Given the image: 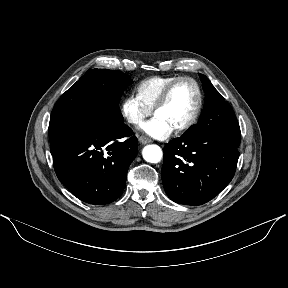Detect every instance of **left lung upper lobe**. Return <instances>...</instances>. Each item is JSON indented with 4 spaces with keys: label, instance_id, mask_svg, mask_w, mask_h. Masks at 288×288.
I'll list each match as a JSON object with an SVG mask.
<instances>
[{
    "label": "left lung upper lobe",
    "instance_id": "1",
    "mask_svg": "<svg viewBox=\"0 0 288 288\" xmlns=\"http://www.w3.org/2000/svg\"><path fill=\"white\" fill-rule=\"evenodd\" d=\"M199 76L206 94L205 105L198 124L192 126L185 135L191 136L206 132L239 146L240 126L232 107L206 76L202 74Z\"/></svg>",
    "mask_w": 288,
    "mask_h": 288
}]
</instances>
